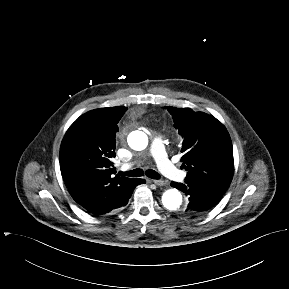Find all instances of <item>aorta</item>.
Returning <instances> with one entry per match:
<instances>
[{
	"mask_svg": "<svg viewBox=\"0 0 289 289\" xmlns=\"http://www.w3.org/2000/svg\"><path fill=\"white\" fill-rule=\"evenodd\" d=\"M128 144L134 150H144L148 145V137L144 132H133L128 137ZM162 204L170 211L179 210L182 205L181 193L177 189L166 190L162 195Z\"/></svg>",
	"mask_w": 289,
	"mask_h": 289,
	"instance_id": "762f6f07",
	"label": "aorta"
}]
</instances>
